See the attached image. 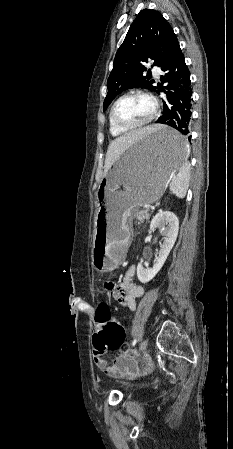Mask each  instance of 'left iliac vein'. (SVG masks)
Segmentation results:
<instances>
[{
  "mask_svg": "<svg viewBox=\"0 0 233 449\" xmlns=\"http://www.w3.org/2000/svg\"><path fill=\"white\" fill-rule=\"evenodd\" d=\"M147 346H148V339H144L140 346V353L145 352Z\"/></svg>",
  "mask_w": 233,
  "mask_h": 449,
  "instance_id": "1",
  "label": "left iliac vein"
}]
</instances>
